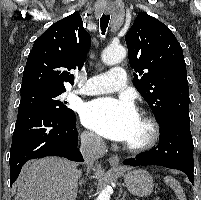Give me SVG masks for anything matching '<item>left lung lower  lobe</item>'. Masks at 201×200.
Wrapping results in <instances>:
<instances>
[{"label":"left lung lower lobe","instance_id":"1","mask_svg":"<svg viewBox=\"0 0 201 200\" xmlns=\"http://www.w3.org/2000/svg\"><path fill=\"white\" fill-rule=\"evenodd\" d=\"M159 144L150 151L124 161L125 165H160L178 169L187 174L193 184V140L189 113L174 112L160 122Z\"/></svg>","mask_w":201,"mask_h":200}]
</instances>
